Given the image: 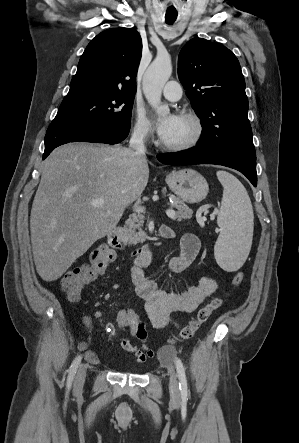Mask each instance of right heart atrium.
Returning <instances> with one entry per match:
<instances>
[{"instance_id": "right-heart-atrium-1", "label": "right heart atrium", "mask_w": 299, "mask_h": 443, "mask_svg": "<svg viewBox=\"0 0 299 443\" xmlns=\"http://www.w3.org/2000/svg\"><path fill=\"white\" fill-rule=\"evenodd\" d=\"M132 136L135 140L141 143H146L152 138L150 122L141 109L135 110Z\"/></svg>"}]
</instances>
